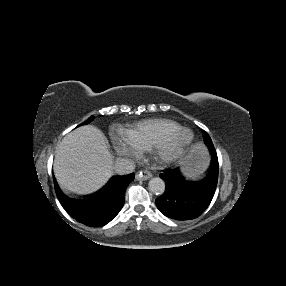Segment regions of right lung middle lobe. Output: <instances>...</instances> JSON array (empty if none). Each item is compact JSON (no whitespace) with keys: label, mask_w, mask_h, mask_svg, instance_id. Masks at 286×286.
Here are the masks:
<instances>
[{"label":"right lung middle lobe","mask_w":286,"mask_h":286,"mask_svg":"<svg viewBox=\"0 0 286 286\" xmlns=\"http://www.w3.org/2000/svg\"><path fill=\"white\" fill-rule=\"evenodd\" d=\"M93 119H94V117H93V116H91V117H89V119H88V120H86L84 123H82V124H80V125L88 124V123H90ZM80 125H79V126H80Z\"/></svg>","instance_id":"dd1d6c3e"}]
</instances>
